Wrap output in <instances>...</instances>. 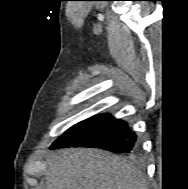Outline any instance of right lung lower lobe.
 Returning <instances> with one entry per match:
<instances>
[{
  "label": "right lung lower lobe",
  "mask_w": 188,
  "mask_h": 189,
  "mask_svg": "<svg viewBox=\"0 0 188 189\" xmlns=\"http://www.w3.org/2000/svg\"><path fill=\"white\" fill-rule=\"evenodd\" d=\"M136 134L126 122L109 114H98L71 127L50 147H95L114 153L135 154L138 151Z\"/></svg>",
  "instance_id": "98d812e1"
}]
</instances>
